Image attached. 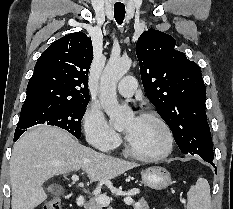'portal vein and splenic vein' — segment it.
<instances>
[{"instance_id":"portal-vein-and-splenic-vein-1","label":"portal vein and splenic vein","mask_w":233,"mask_h":209,"mask_svg":"<svg viewBox=\"0 0 233 209\" xmlns=\"http://www.w3.org/2000/svg\"><path fill=\"white\" fill-rule=\"evenodd\" d=\"M72 180L73 181H78L79 180V177L77 175H72ZM96 202L102 206H109L110 202L112 201V198L106 196V195H99L95 198ZM124 203L126 205H131L133 203V199L130 198V197H127L124 199Z\"/></svg>"}]
</instances>
